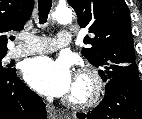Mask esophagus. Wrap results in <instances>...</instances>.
<instances>
[{"instance_id":"1","label":"esophagus","mask_w":142,"mask_h":119,"mask_svg":"<svg viewBox=\"0 0 142 119\" xmlns=\"http://www.w3.org/2000/svg\"><path fill=\"white\" fill-rule=\"evenodd\" d=\"M47 113L50 119L59 118V112L55 109L53 105H50V104L47 105Z\"/></svg>"}]
</instances>
